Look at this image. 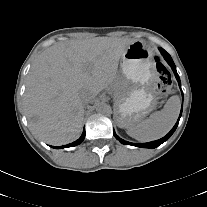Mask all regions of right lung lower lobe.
<instances>
[{
  "label": "right lung lower lobe",
  "mask_w": 207,
  "mask_h": 207,
  "mask_svg": "<svg viewBox=\"0 0 207 207\" xmlns=\"http://www.w3.org/2000/svg\"><path fill=\"white\" fill-rule=\"evenodd\" d=\"M84 138H85V130L83 131L81 137L78 140H76L75 142L61 146V147H53V148L59 149V148H67V147L76 146V145H79L84 140Z\"/></svg>",
  "instance_id": "98d812e1"
}]
</instances>
